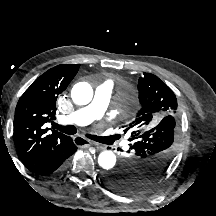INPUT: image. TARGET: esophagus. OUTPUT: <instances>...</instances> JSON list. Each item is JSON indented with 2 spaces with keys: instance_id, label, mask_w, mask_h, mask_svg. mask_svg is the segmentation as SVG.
Here are the masks:
<instances>
[{
  "instance_id": "34e87169",
  "label": "esophagus",
  "mask_w": 216,
  "mask_h": 216,
  "mask_svg": "<svg viewBox=\"0 0 216 216\" xmlns=\"http://www.w3.org/2000/svg\"><path fill=\"white\" fill-rule=\"evenodd\" d=\"M73 140H74V143H75V144H78V145H79V144L93 145V146H95L97 149H100V150L103 149V146H101L100 144H98V143H96V142H93V141H90V140H88V139H84V138H82V137H80V136L74 137Z\"/></svg>"
}]
</instances>
